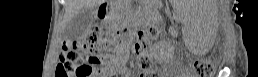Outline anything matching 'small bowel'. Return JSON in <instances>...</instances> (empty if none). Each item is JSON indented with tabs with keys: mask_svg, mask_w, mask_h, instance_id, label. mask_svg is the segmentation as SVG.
I'll list each match as a JSON object with an SVG mask.
<instances>
[{
	"mask_svg": "<svg viewBox=\"0 0 258 77\" xmlns=\"http://www.w3.org/2000/svg\"><path fill=\"white\" fill-rule=\"evenodd\" d=\"M127 54V50H124L117 54H104L100 56L102 69L97 77H103L115 72H120L124 68Z\"/></svg>",
	"mask_w": 258,
	"mask_h": 77,
	"instance_id": "small-bowel-1",
	"label": "small bowel"
}]
</instances>
